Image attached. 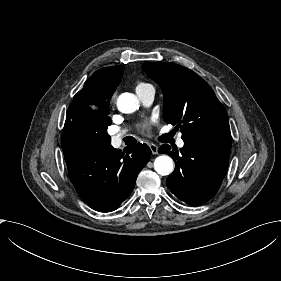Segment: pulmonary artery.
<instances>
[{"label": "pulmonary artery", "mask_w": 281, "mask_h": 281, "mask_svg": "<svg viewBox=\"0 0 281 281\" xmlns=\"http://www.w3.org/2000/svg\"><path fill=\"white\" fill-rule=\"evenodd\" d=\"M139 99L145 106H150L153 103L154 100V91L153 89H142L138 91L137 93ZM124 133L120 132L112 136V146L115 150H119L122 147V141H123ZM177 145L179 147H182L184 145V142L181 138L177 139Z\"/></svg>", "instance_id": "pulmonary-artery-1"}]
</instances>
